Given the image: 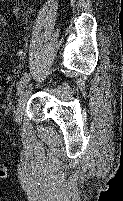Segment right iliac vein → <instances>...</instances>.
Masks as SVG:
<instances>
[{"label":"right iliac vein","instance_id":"right-iliac-vein-1","mask_svg":"<svg viewBox=\"0 0 123 201\" xmlns=\"http://www.w3.org/2000/svg\"><path fill=\"white\" fill-rule=\"evenodd\" d=\"M32 90V84L27 85L21 92L20 97L18 99L17 109L15 112V119L16 122H20L23 116V111L25 109V105L27 103V100L30 96Z\"/></svg>","mask_w":123,"mask_h":201}]
</instances>
